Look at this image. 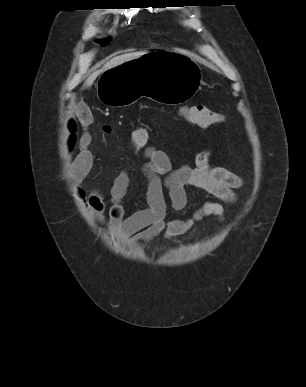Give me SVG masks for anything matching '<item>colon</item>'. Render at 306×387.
Instances as JSON below:
<instances>
[{
	"instance_id": "5ec220e1",
	"label": "colon",
	"mask_w": 306,
	"mask_h": 387,
	"mask_svg": "<svg viewBox=\"0 0 306 387\" xmlns=\"http://www.w3.org/2000/svg\"><path fill=\"white\" fill-rule=\"evenodd\" d=\"M183 117L190 123L199 127H210L222 121V115L205 105H194L183 108ZM104 131L111 133L110 127H104ZM149 142V132L146 127H137L130 136V147L133 151H138L147 146Z\"/></svg>"
}]
</instances>
